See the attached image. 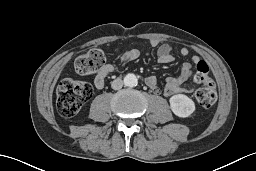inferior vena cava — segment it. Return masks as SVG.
<instances>
[{
  "label": "inferior vena cava",
  "instance_id": "obj_1",
  "mask_svg": "<svg viewBox=\"0 0 256 171\" xmlns=\"http://www.w3.org/2000/svg\"><path fill=\"white\" fill-rule=\"evenodd\" d=\"M122 86H123V81L120 78H117V79L113 80L112 83H111V87L114 90H119V89L122 88Z\"/></svg>",
  "mask_w": 256,
  "mask_h": 171
}]
</instances>
